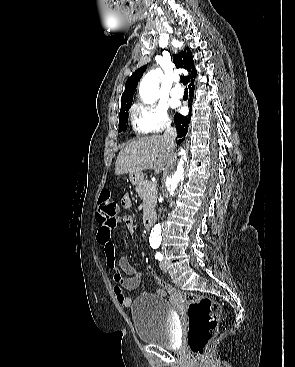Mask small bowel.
<instances>
[{
	"label": "small bowel",
	"instance_id": "small-bowel-1",
	"mask_svg": "<svg viewBox=\"0 0 295 367\" xmlns=\"http://www.w3.org/2000/svg\"><path fill=\"white\" fill-rule=\"evenodd\" d=\"M122 205L125 208L131 206L129 196L125 195L123 197ZM98 222L99 228L96 240L104 251L107 267L113 270V292L121 306L129 307L132 304V298L127 296L125 292L137 289L141 283L142 276L127 257L122 256L116 258L112 232L119 223H122L125 225L127 231L133 235L135 231L134 220L130 215H125L123 217H116L109 222Z\"/></svg>",
	"mask_w": 295,
	"mask_h": 367
}]
</instances>
